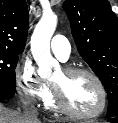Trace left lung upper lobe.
<instances>
[{"label": "left lung upper lobe", "instance_id": "1", "mask_svg": "<svg viewBox=\"0 0 118 123\" xmlns=\"http://www.w3.org/2000/svg\"><path fill=\"white\" fill-rule=\"evenodd\" d=\"M77 49L102 82L107 116H118V18L107 0H65Z\"/></svg>", "mask_w": 118, "mask_h": 123}]
</instances>
